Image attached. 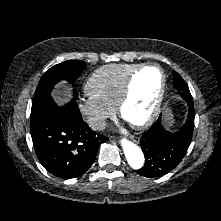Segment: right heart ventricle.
<instances>
[{
    "label": "right heart ventricle",
    "instance_id": "obj_1",
    "mask_svg": "<svg viewBox=\"0 0 221 221\" xmlns=\"http://www.w3.org/2000/svg\"><path fill=\"white\" fill-rule=\"evenodd\" d=\"M140 64H113L97 69L86 81L84 90L106 106L115 108L130 74Z\"/></svg>",
    "mask_w": 221,
    "mask_h": 221
}]
</instances>
